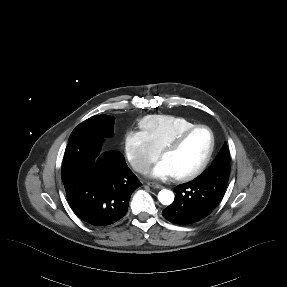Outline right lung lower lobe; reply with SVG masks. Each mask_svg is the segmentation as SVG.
<instances>
[{"label": "right lung lower lobe", "mask_w": 287, "mask_h": 287, "mask_svg": "<svg viewBox=\"0 0 287 287\" xmlns=\"http://www.w3.org/2000/svg\"><path fill=\"white\" fill-rule=\"evenodd\" d=\"M102 142L103 138L95 135L70 139L61 168L71 209L92 226L120 220L128 210L131 194L141 186L121 153H99Z\"/></svg>", "instance_id": "1"}]
</instances>
